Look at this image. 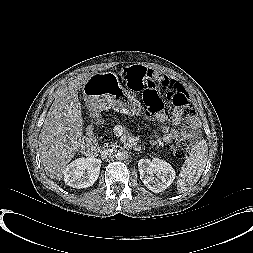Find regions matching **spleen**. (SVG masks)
<instances>
[{"label":"spleen","mask_w":253,"mask_h":253,"mask_svg":"<svg viewBox=\"0 0 253 253\" xmlns=\"http://www.w3.org/2000/svg\"><path fill=\"white\" fill-rule=\"evenodd\" d=\"M208 147L205 140L197 142L183 164L179 179L177 181V189L179 193L187 191L200 178L207 161Z\"/></svg>","instance_id":"3e777b00"}]
</instances>
